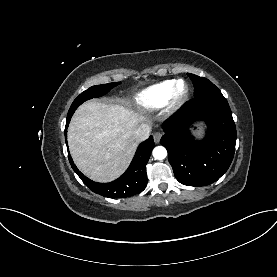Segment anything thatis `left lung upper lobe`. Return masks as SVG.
<instances>
[{
    "instance_id": "obj_1",
    "label": "left lung upper lobe",
    "mask_w": 277,
    "mask_h": 277,
    "mask_svg": "<svg viewBox=\"0 0 277 277\" xmlns=\"http://www.w3.org/2000/svg\"><path fill=\"white\" fill-rule=\"evenodd\" d=\"M188 76L194 85V97H198L207 93L220 92V90L208 79L188 73Z\"/></svg>"
}]
</instances>
